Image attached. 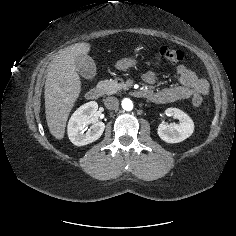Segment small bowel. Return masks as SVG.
Returning <instances> with one entry per match:
<instances>
[{
  "label": "small bowel",
  "instance_id": "c3829d8e",
  "mask_svg": "<svg viewBox=\"0 0 236 236\" xmlns=\"http://www.w3.org/2000/svg\"><path fill=\"white\" fill-rule=\"evenodd\" d=\"M176 72L181 85L166 87L158 91L147 89L144 95L155 103L168 104L181 99H189L195 94L205 96L208 93L207 81L201 78L195 70L181 64L177 67ZM142 78L149 86L154 85L157 80L153 71L145 72Z\"/></svg>",
  "mask_w": 236,
  "mask_h": 236
}]
</instances>
